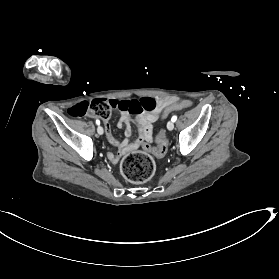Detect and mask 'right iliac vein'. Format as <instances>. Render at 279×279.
Segmentation results:
<instances>
[{
	"instance_id": "right-iliac-vein-1",
	"label": "right iliac vein",
	"mask_w": 279,
	"mask_h": 279,
	"mask_svg": "<svg viewBox=\"0 0 279 279\" xmlns=\"http://www.w3.org/2000/svg\"><path fill=\"white\" fill-rule=\"evenodd\" d=\"M97 132H98L99 135H102L103 132H104L103 127L102 126H98L97 127Z\"/></svg>"
}]
</instances>
